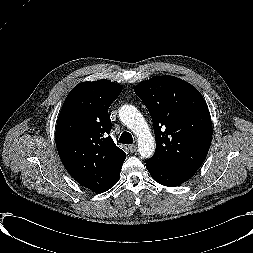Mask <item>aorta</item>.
I'll use <instances>...</instances> for the list:
<instances>
[{
    "instance_id": "762f6f07",
    "label": "aorta",
    "mask_w": 253,
    "mask_h": 253,
    "mask_svg": "<svg viewBox=\"0 0 253 253\" xmlns=\"http://www.w3.org/2000/svg\"><path fill=\"white\" fill-rule=\"evenodd\" d=\"M119 119L138 138V152L143 158H150L155 151V141L139 110L133 105H123L119 109Z\"/></svg>"
}]
</instances>
